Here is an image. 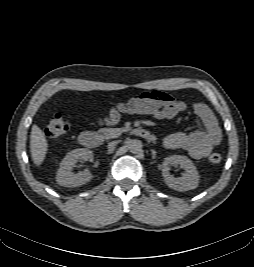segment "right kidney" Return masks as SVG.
I'll use <instances>...</instances> for the list:
<instances>
[{
    "label": "right kidney",
    "mask_w": 254,
    "mask_h": 267,
    "mask_svg": "<svg viewBox=\"0 0 254 267\" xmlns=\"http://www.w3.org/2000/svg\"><path fill=\"white\" fill-rule=\"evenodd\" d=\"M92 157V151L84 148L74 149L67 153L57 171V183L65 187H77L89 182L92 179V174L88 170L74 174L72 169L79 160L88 161Z\"/></svg>",
    "instance_id": "obj_1"
}]
</instances>
